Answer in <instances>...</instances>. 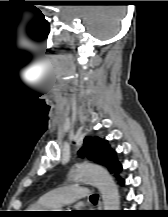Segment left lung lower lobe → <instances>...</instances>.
Segmentation results:
<instances>
[{
  "mask_svg": "<svg viewBox=\"0 0 168 217\" xmlns=\"http://www.w3.org/2000/svg\"><path fill=\"white\" fill-rule=\"evenodd\" d=\"M118 181L121 185H124V180L122 178L118 177Z\"/></svg>",
  "mask_w": 168,
  "mask_h": 217,
  "instance_id": "left-lung-lower-lobe-1",
  "label": "left lung lower lobe"
}]
</instances>
